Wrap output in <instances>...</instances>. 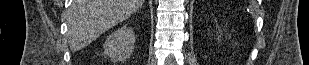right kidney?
Segmentation results:
<instances>
[{"instance_id":"1","label":"right kidney","mask_w":309,"mask_h":65,"mask_svg":"<svg viewBox=\"0 0 309 65\" xmlns=\"http://www.w3.org/2000/svg\"><path fill=\"white\" fill-rule=\"evenodd\" d=\"M135 38L132 29L121 27L105 41L103 45L104 53L114 62L125 61L134 51Z\"/></svg>"}]
</instances>
